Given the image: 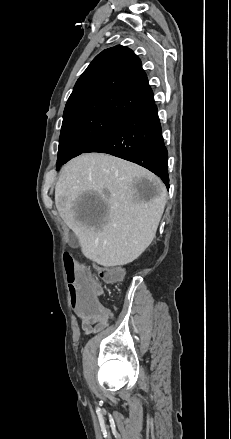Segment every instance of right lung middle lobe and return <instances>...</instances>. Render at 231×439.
I'll return each mask as SVG.
<instances>
[{
  "label": "right lung middle lobe",
  "instance_id": "obj_1",
  "mask_svg": "<svg viewBox=\"0 0 231 439\" xmlns=\"http://www.w3.org/2000/svg\"><path fill=\"white\" fill-rule=\"evenodd\" d=\"M122 119L120 116L100 112L63 118L57 170L70 159L84 153Z\"/></svg>",
  "mask_w": 231,
  "mask_h": 439
}]
</instances>
